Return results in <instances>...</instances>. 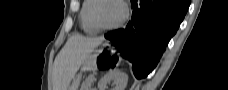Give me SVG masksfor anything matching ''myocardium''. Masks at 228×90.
I'll list each match as a JSON object with an SVG mask.
<instances>
[{
    "label": "myocardium",
    "mask_w": 228,
    "mask_h": 90,
    "mask_svg": "<svg viewBox=\"0 0 228 90\" xmlns=\"http://www.w3.org/2000/svg\"><path fill=\"white\" fill-rule=\"evenodd\" d=\"M103 1H108V0H95V4L91 8L90 19H91L92 24L99 31H110V30H114V29H117V28L121 27L128 19V8H127L126 3L124 1H122V0H111V1L117 2V3H119L121 5V7H122V16H121L120 20L117 23H115L113 25H110V26H102L98 22L95 13H96V9L98 7V4L103 2Z\"/></svg>",
    "instance_id": "1"
}]
</instances>
